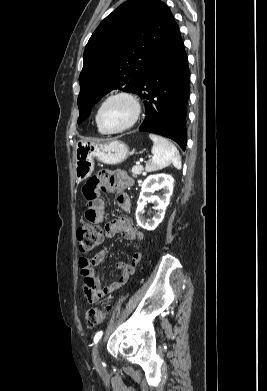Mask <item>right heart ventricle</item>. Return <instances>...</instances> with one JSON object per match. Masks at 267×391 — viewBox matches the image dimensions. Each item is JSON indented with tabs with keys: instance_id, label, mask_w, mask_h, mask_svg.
Instances as JSON below:
<instances>
[{
	"instance_id": "1",
	"label": "right heart ventricle",
	"mask_w": 267,
	"mask_h": 391,
	"mask_svg": "<svg viewBox=\"0 0 267 391\" xmlns=\"http://www.w3.org/2000/svg\"><path fill=\"white\" fill-rule=\"evenodd\" d=\"M98 131H99L100 133H103L99 128H98Z\"/></svg>"
}]
</instances>
